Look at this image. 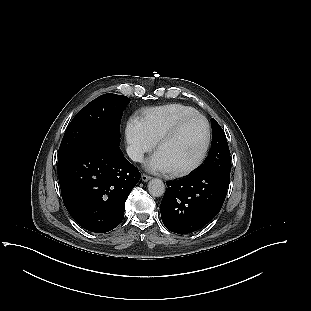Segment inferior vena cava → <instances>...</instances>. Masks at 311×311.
<instances>
[{
    "instance_id": "602c4592",
    "label": "inferior vena cava",
    "mask_w": 311,
    "mask_h": 311,
    "mask_svg": "<svg viewBox=\"0 0 311 311\" xmlns=\"http://www.w3.org/2000/svg\"><path fill=\"white\" fill-rule=\"evenodd\" d=\"M128 156L136 162H141L143 160V153L138 148H135L133 146H128L127 149Z\"/></svg>"
}]
</instances>
